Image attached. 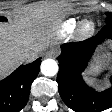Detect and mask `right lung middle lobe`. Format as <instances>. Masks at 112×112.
<instances>
[{"mask_svg":"<svg viewBox=\"0 0 112 112\" xmlns=\"http://www.w3.org/2000/svg\"><path fill=\"white\" fill-rule=\"evenodd\" d=\"M7 19L3 16H0V21H6Z\"/></svg>","mask_w":112,"mask_h":112,"instance_id":"dd1d6c3e","label":"right lung middle lobe"}]
</instances>
